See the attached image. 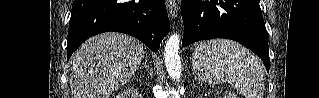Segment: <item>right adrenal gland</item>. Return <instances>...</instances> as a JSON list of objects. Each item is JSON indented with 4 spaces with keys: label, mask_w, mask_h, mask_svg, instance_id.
I'll return each mask as SVG.
<instances>
[{
    "label": "right adrenal gland",
    "mask_w": 319,
    "mask_h": 98,
    "mask_svg": "<svg viewBox=\"0 0 319 98\" xmlns=\"http://www.w3.org/2000/svg\"><path fill=\"white\" fill-rule=\"evenodd\" d=\"M143 60H144V63H142L141 68H142L143 66H144L145 68H148L147 58H146L145 54H143Z\"/></svg>",
    "instance_id": "right-adrenal-gland-1"
}]
</instances>
